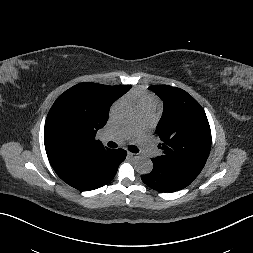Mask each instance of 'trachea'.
<instances>
[{"label": "trachea", "instance_id": "trachea-1", "mask_svg": "<svg viewBox=\"0 0 253 253\" xmlns=\"http://www.w3.org/2000/svg\"><path fill=\"white\" fill-rule=\"evenodd\" d=\"M110 148H117V144L116 143H114V142H112V141H110V142H108V144H107ZM128 150L130 151V152H133V153H138L139 152V149L136 147V146H134V145H130L129 147H128Z\"/></svg>", "mask_w": 253, "mask_h": 253}]
</instances>
